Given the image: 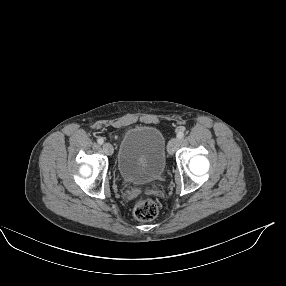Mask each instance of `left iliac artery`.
<instances>
[{
	"label": "left iliac artery",
	"mask_w": 286,
	"mask_h": 286,
	"mask_svg": "<svg viewBox=\"0 0 286 286\" xmlns=\"http://www.w3.org/2000/svg\"><path fill=\"white\" fill-rule=\"evenodd\" d=\"M184 136H185V134H184L183 130L179 131L178 134H177V138L180 139V140L183 139Z\"/></svg>",
	"instance_id": "1"
}]
</instances>
